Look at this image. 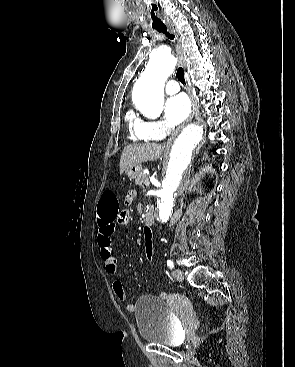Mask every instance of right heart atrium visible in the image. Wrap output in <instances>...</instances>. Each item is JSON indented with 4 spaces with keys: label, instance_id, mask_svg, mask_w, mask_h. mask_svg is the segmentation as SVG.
I'll return each mask as SVG.
<instances>
[{
    "label": "right heart atrium",
    "instance_id": "right-heart-atrium-1",
    "mask_svg": "<svg viewBox=\"0 0 295 367\" xmlns=\"http://www.w3.org/2000/svg\"><path fill=\"white\" fill-rule=\"evenodd\" d=\"M171 127L162 120L147 121L145 131L151 139H162L171 132Z\"/></svg>",
    "mask_w": 295,
    "mask_h": 367
}]
</instances>
